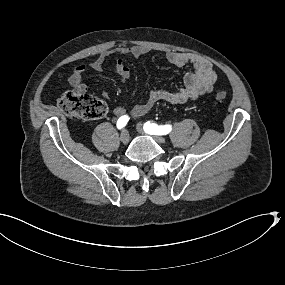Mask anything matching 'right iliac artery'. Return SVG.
<instances>
[{
  "instance_id": "1",
  "label": "right iliac artery",
  "mask_w": 285,
  "mask_h": 285,
  "mask_svg": "<svg viewBox=\"0 0 285 285\" xmlns=\"http://www.w3.org/2000/svg\"><path fill=\"white\" fill-rule=\"evenodd\" d=\"M128 121L129 117L127 115L121 116L117 121V128L122 129L127 124Z\"/></svg>"
}]
</instances>
